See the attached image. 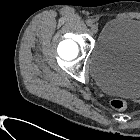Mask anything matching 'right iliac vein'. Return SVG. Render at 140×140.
Segmentation results:
<instances>
[{
    "label": "right iliac vein",
    "instance_id": "obj_1",
    "mask_svg": "<svg viewBox=\"0 0 140 140\" xmlns=\"http://www.w3.org/2000/svg\"><path fill=\"white\" fill-rule=\"evenodd\" d=\"M91 32H92V34H96L97 32H98V26L97 25H92L91 26Z\"/></svg>",
    "mask_w": 140,
    "mask_h": 140
}]
</instances>
